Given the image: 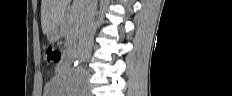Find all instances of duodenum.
<instances>
[{
  "instance_id": "obj_1",
  "label": "duodenum",
  "mask_w": 232,
  "mask_h": 96,
  "mask_svg": "<svg viewBox=\"0 0 232 96\" xmlns=\"http://www.w3.org/2000/svg\"><path fill=\"white\" fill-rule=\"evenodd\" d=\"M65 58H66V61L74 62V57L71 53H67Z\"/></svg>"
}]
</instances>
